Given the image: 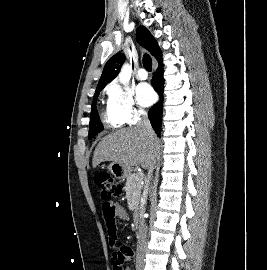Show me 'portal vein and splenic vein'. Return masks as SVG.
Segmentation results:
<instances>
[{
  "instance_id": "obj_1",
  "label": "portal vein and splenic vein",
  "mask_w": 267,
  "mask_h": 270,
  "mask_svg": "<svg viewBox=\"0 0 267 270\" xmlns=\"http://www.w3.org/2000/svg\"><path fill=\"white\" fill-rule=\"evenodd\" d=\"M136 179H137L138 181H141V180L143 179V173H142V172L138 173V176H137Z\"/></svg>"
}]
</instances>
